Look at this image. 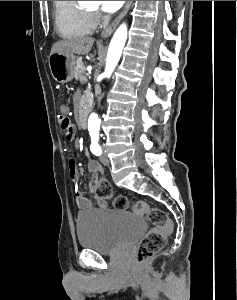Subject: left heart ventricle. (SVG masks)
Instances as JSON below:
<instances>
[{
  "instance_id": "b2bd125f",
  "label": "left heart ventricle",
  "mask_w": 237,
  "mask_h": 300,
  "mask_svg": "<svg viewBox=\"0 0 237 300\" xmlns=\"http://www.w3.org/2000/svg\"><path fill=\"white\" fill-rule=\"evenodd\" d=\"M91 3H89V5L91 6V8L93 9H97L99 7V3H97V1H90Z\"/></svg>"
}]
</instances>
